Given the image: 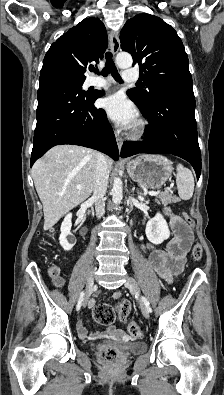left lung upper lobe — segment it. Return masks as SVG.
Listing matches in <instances>:
<instances>
[{
  "instance_id": "1",
  "label": "left lung upper lobe",
  "mask_w": 224,
  "mask_h": 395,
  "mask_svg": "<svg viewBox=\"0 0 224 395\" xmlns=\"http://www.w3.org/2000/svg\"><path fill=\"white\" fill-rule=\"evenodd\" d=\"M121 48L139 65L142 87L128 94L142 107H151L164 98L194 95L188 57L177 32L161 18L138 14L129 19L120 33ZM142 72H144L142 74Z\"/></svg>"
}]
</instances>
